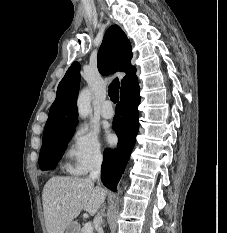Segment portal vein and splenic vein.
Returning a JSON list of instances; mask_svg holds the SVG:
<instances>
[{"instance_id":"18ae733b","label":"portal vein and splenic vein","mask_w":227,"mask_h":233,"mask_svg":"<svg viewBox=\"0 0 227 233\" xmlns=\"http://www.w3.org/2000/svg\"><path fill=\"white\" fill-rule=\"evenodd\" d=\"M83 233H93V226L91 223H86L82 228Z\"/></svg>"}]
</instances>
